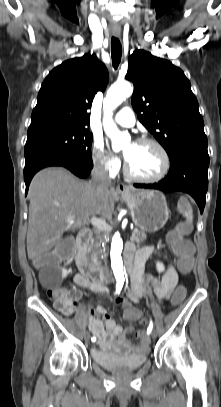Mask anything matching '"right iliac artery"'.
Instances as JSON below:
<instances>
[{"label":"right iliac artery","instance_id":"right-iliac-artery-1","mask_svg":"<svg viewBox=\"0 0 221 407\" xmlns=\"http://www.w3.org/2000/svg\"><path fill=\"white\" fill-rule=\"evenodd\" d=\"M122 287H123V283H121V282H117V285H116V294L118 293H120V291H121V289H122ZM91 341L92 342H95L96 341V338L95 337H92L91 338Z\"/></svg>","mask_w":221,"mask_h":407}]
</instances>
